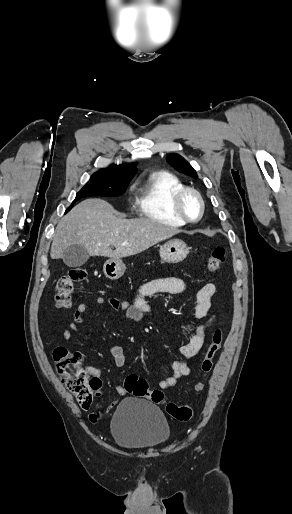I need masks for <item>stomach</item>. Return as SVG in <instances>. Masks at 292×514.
<instances>
[{"instance_id":"1","label":"stomach","mask_w":292,"mask_h":514,"mask_svg":"<svg viewBox=\"0 0 292 514\" xmlns=\"http://www.w3.org/2000/svg\"><path fill=\"white\" fill-rule=\"evenodd\" d=\"M159 254L162 262H167V264H178V262L185 260L188 254V248L182 240H169V242H166L164 246H161ZM125 270L126 266L120 258L107 260L103 266V272L109 280H118V278L123 276Z\"/></svg>"}]
</instances>
